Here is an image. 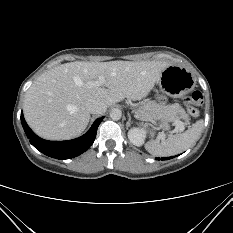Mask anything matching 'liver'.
Segmentation results:
<instances>
[{"label": "liver", "instance_id": "6515ba94", "mask_svg": "<svg viewBox=\"0 0 233 233\" xmlns=\"http://www.w3.org/2000/svg\"><path fill=\"white\" fill-rule=\"evenodd\" d=\"M170 64L158 61L70 62L39 76L25 94L27 124L40 137L69 140L87 127L89 100L108 107L124 98L146 97ZM99 77L107 88L94 86Z\"/></svg>", "mask_w": 233, "mask_h": 233}]
</instances>
